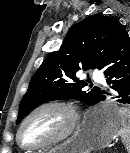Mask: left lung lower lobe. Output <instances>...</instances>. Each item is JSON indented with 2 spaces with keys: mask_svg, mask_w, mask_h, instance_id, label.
Instances as JSON below:
<instances>
[{
  "mask_svg": "<svg viewBox=\"0 0 130 153\" xmlns=\"http://www.w3.org/2000/svg\"><path fill=\"white\" fill-rule=\"evenodd\" d=\"M102 70L112 89L111 93L106 94L117 102L130 104V38L126 30L121 31L117 36ZM103 94L104 91L101 92L96 103L106 99Z\"/></svg>",
  "mask_w": 130,
  "mask_h": 153,
  "instance_id": "0a47b994",
  "label": "left lung lower lobe"
}]
</instances>
